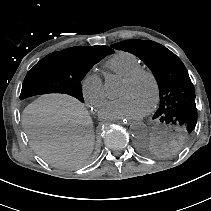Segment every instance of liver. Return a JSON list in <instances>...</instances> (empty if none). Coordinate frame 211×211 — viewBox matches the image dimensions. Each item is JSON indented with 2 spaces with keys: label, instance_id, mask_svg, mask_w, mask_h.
<instances>
[{
  "label": "liver",
  "instance_id": "obj_1",
  "mask_svg": "<svg viewBox=\"0 0 211 211\" xmlns=\"http://www.w3.org/2000/svg\"><path fill=\"white\" fill-rule=\"evenodd\" d=\"M21 123L32 148L45 161L73 168L92 151L95 135L89 112L66 94H47L30 103Z\"/></svg>",
  "mask_w": 211,
  "mask_h": 211
}]
</instances>
